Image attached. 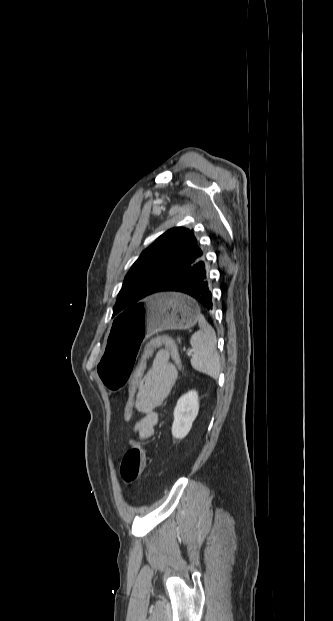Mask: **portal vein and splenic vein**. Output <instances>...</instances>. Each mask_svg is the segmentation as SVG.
Masks as SVG:
<instances>
[{
    "label": "portal vein and splenic vein",
    "instance_id": "1",
    "mask_svg": "<svg viewBox=\"0 0 333 621\" xmlns=\"http://www.w3.org/2000/svg\"><path fill=\"white\" fill-rule=\"evenodd\" d=\"M192 352H193V351H192V350H190V351L188 352V356L192 355Z\"/></svg>",
    "mask_w": 333,
    "mask_h": 621
}]
</instances>
